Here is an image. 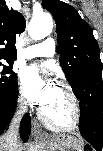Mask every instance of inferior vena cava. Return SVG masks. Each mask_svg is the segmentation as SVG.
Returning a JSON list of instances; mask_svg holds the SVG:
<instances>
[{"label": "inferior vena cava", "mask_w": 103, "mask_h": 151, "mask_svg": "<svg viewBox=\"0 0 103 151\" xmlns=\"http://www.w3.org/2000/svg\"><path fill=\"white\" fill-rule=\"evenodd\" d=\"M20 114L16 116L13 123L11 124L8 132L5 134V136L1 140V145L3 146V143L5 142L4 147L6 148V151H14L15 146L17 145L18 141V128H19V122H20Z\"/></svg>", "instance_id": "1"}]
</instances>
